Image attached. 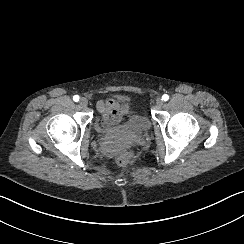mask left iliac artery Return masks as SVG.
Segmentation results:
<instances>
[{
	"instance_id": "left-iliac-artery-1",
	"label": "left iliac artery",
	"mask_w": 244,
	"mask_h": 244,
	"mask_svg": "<svg viewBox=\"0 0 244 244\" xmlns=\"http://www.w3.org/2000/svg\"><path fill=\"white\" fill-rule=\"evenodd\" d=\"M162 99H163L164 101H167V100L169 99V96H168L167 94H164V95L162 96Z\"/></svg>"
}]
</instances>
